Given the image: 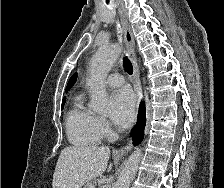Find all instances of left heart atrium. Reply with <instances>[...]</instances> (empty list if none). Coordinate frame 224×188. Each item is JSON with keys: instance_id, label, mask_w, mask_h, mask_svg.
<instances>
[{"instance_id": "39dd6f15", "label": "left heart atrium", "mask_w": 224, "mask_h": 188, "mask_svg": "<svg viewBox=\"0 0 224 188\" xmlns=\"http://www.w3.org/2000/svg\"><path fill=\"white\" fill-rule=\"evenodd\" d=\"M135 115V100L130 89L115 91L111 98V119L119 127L131 125Z\"/></svg>"}]
</instances>
